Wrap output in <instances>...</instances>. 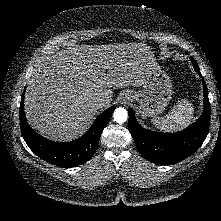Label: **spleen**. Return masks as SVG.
Wrapping results in <instances>:
<instances>
[{
	"label": "spleen",
	"instance_id": "spleen-1",
	"mask_svg": "<svg viewBox=\"0 0 221 221\" xmlns=\"http://www.w3.org/2000/svg\"><path fill=\"white\" fill-rule=\"evenodd\" d=\"M194 115L193 105L188 100H180L173 109L163 117H154L151 122L161 131L176 132L191 124Z\"/></svg>",
	"mask_w": 221,
	"mask_h": 221
}]
</instances>
